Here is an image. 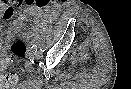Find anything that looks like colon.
I'll return each instance as SVG.
<instances>
[{
  "label": "colon",
  "mask_w": 131,
  "mask_h": 89,
  "mask_svg": "<svg viewBox=\"0 0 131 89\" xmlns=\"http://www.w3.org/2000/svg\"><path fill=\"white\" fill-rule=\"evenodd\" d=\"M28 54V46L21 39H15L0 49V89L14 87L17 76L13 73H5V70L16 60H23Z\"/></svg>",
  "instance_id": "1"
}]
</instances>
